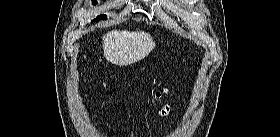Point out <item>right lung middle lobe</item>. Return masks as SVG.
<instances>
[{
  "label": "right lung middle lobe",
  "instance_id": "obj_1",
  "mask_svg": "<svg viewBox=\"0 0 280 137\" xmlns=\"http://www.w3.org/2000/svg\"><path fill=\"white\" fill-rule=\"evenodd\" d=\"M96 3H97L96 1L93 2L94 5H95ZM100 19H106V15L97 16V18L95 19V21L100 20Z\"/></svg>",
  "mask_w": 280,
  "mask_h": 137
}]
</instances>
